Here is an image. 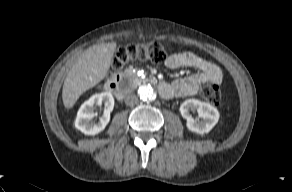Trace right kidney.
I'll return each instance as SVG.
<instances>
[{"mask_svg": "<svg viewBox=\"0 0 292 192\" xmlns=\"http://www.w3.org/2000/svg\"><path fill=\"white\" fill-rule=\"evenodd\" d=\"M104 103L105 110L99 122L92 121L95 116L94 108ZM114 107V98L110 92L91 96L78 110L75 127L85 135H96L103 131L110 120V112Z\"/></svg>", "mask_w": 292, "mask_h": 192, "instance_id": "obj_1", "label": "right kidney"}]
</instances>
